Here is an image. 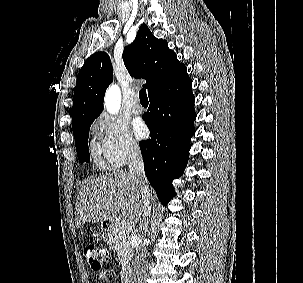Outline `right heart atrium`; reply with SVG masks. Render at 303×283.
I'll list each match as a JSON object with an SVG mask.
<instances>
[{
  "instance_id": "1",
  "label": "right heart atrium",
  "mask_w": 303,
  "mask_h": 283,
  "mask_svg": "<svg viewBox=\"0 0 303 283\" xmlns=\"http://www.w3.org/2000/svg\"><path fill=\"white\" fill-rule=\"evenodd\" d=\"M100 153L112 166H122L140 152L138 142L120 119L103 115L93 124Z\"/></svg>"
}]
</instances>
